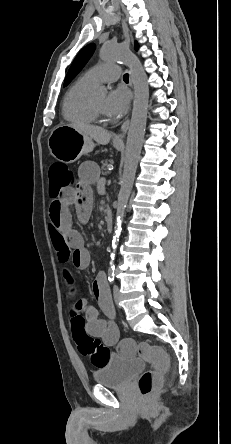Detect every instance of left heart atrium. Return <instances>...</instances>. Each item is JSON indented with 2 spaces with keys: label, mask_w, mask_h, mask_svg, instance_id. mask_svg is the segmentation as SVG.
<instances>
[{
  "label": "left heart atrium",
  "mask_w": 231,
  "mask_h": 444,
  "mask_svg": "<svg viewBox=\"0 0 231 444\" xmlns=\"http://www.w3.org/2000/svg\"><path fill=\"white\" fill-rule=\"evenodd\" d=\"M130 102L129 92L118 87L110 91L105 101V113L112 118H119L125 114Z\"/></svg>",
  "instance_id": "39dd6f15"
}]
</instances>
